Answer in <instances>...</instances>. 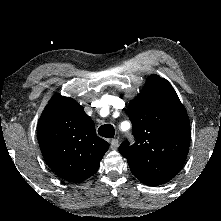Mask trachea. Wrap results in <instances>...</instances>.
Wrapping results in <instances>:
<instances>
[{
  "label": "trachea",
  "mask_w": 221,
  "mask_h": 221,
  "mask_svg": "<svg viewBox=\"0 0 221 221\" xmlns=\"http://www.w3.org/2000/svg\"><path fill=\"white\" fill-rule=\"evenodd\" d=\"M98 134L105 138H113L115 135V129L111 124H105L99 127Z\"/></svg>",
  "instance_id": "3493384b"
}]
</instances>
